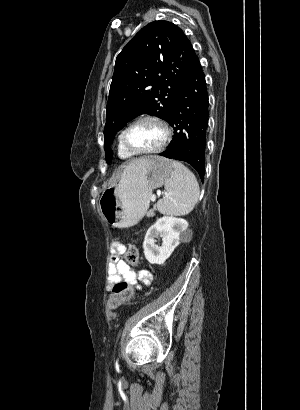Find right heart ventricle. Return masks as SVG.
Masks as SVG:
<instances>
[{
	"mask_svg": "<svg viewBox=\"0 0 300 410\" xmlns=\"http://www.w3.org/2000/svg\"><path fill=\"white\" fill-rule=\"evenodd\" d=\"M117 152H118L119 157L124 159V160L130 159L134 156L122 146L121 141H120V135L118 137Z\"/></svg>",
	"mask_w": 300,
	"mask_h": 410,
	"instance_id": "obj_1",
	"label": "right heart ventricle"
}]
</instances>
